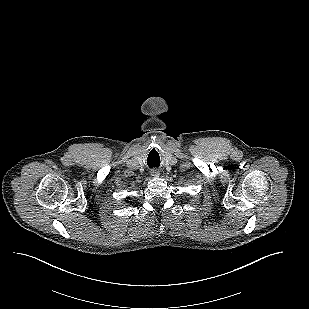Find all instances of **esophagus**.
<instances>
[{
  "mask_svg": "<svg viewBox=\"0 0 309 309\" xmlns=\"http://www.w3.org/2000/svg\"><path fill=\"white\" fill-rule=\"evenodd\" d=\"M151 175L154 176V177H157V176H159V172L157 170H152Z\"/></svg>",
  "mask_w": 309,
  "mask_h": 309,
  "instance_id": "obj_1",
  "label": "esophagus"
}]
</instances>
